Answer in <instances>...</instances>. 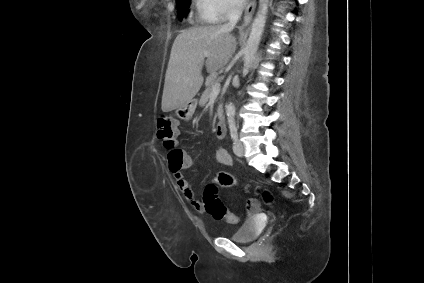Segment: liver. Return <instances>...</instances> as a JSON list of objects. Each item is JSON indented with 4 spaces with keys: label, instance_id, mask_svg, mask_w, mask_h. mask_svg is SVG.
<instances>
[{
    "label": "liver",
    "instance_id": "liver-1",
    "mask_svg": "<svg viewBox=\"0 0 424 283\" xmlns=\"http://www.w3.org/2000/svg\"><path fill=\"white\" fill-rule=\"evenodd\" d=\"M233 27L227 24L197 26L177 35L165 76L161 103L163 112L193 100L204 81V62L212 76L228 64L237 47L236 38L231 34Z\"/></svg>",
    "mask_w": 424,
    "mask_h": 283
}]
</instances>
